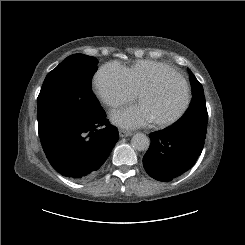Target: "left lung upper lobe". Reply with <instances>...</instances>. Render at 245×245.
Listing matches in <instances>:
<instances>
[{"label": "left lung upper lobe", "mask_w": 245, "mask_h": 245, "mask_svg": "<svg viewBox=\"0 0 245 245\" xmlns=\"http://www.w3.org/2000/svg\"><path fill=\"white\" fill-rule=\"evenodd\" d=\"M193 86V99L189 109L177 122L168 127L174 131H187L198 134L205 139L207 131L208 114L202 85L189 70Z\"/></svg>", "instance_id": "1"}]
</instances>
